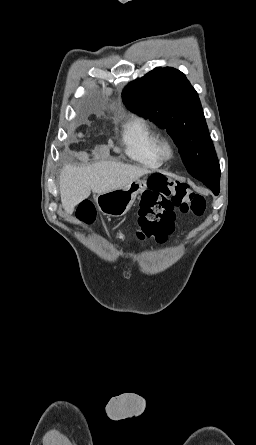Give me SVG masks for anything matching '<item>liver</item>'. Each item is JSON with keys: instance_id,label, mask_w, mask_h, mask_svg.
Listing matches in <instances>:
<instances>
[{"instance_id": "1", "label": "liver", "mask_w": 256, "mask_h": 445, "mask_svg": "<svg viewBox=\"0 0 256 445\" xmlns=\"http://www.w3.org/2000/svg\"><path fill=\"white\" fill-rule=\"evenodd\" d=\"M150 170L119 162L104 161L85 167L66 165L60 174L59 191L62 206L72 213L74 208L94 194L123 188Z\"/></svg>"}]
</instances>
